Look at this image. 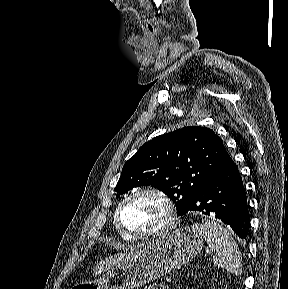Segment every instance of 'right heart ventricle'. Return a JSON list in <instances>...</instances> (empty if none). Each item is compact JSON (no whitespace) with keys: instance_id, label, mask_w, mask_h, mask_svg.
I'll list each match as a JSON object with an SVG mask.
<instances>
[{"instance_id":"obj_1","label":"right heart ventricle","mask_w":288,"mask_h":289,"mask_svg":"<svg viewBox=\"0 0 288 289\" xmlns=\"http://www.w3.org/2000/svg\"><path fill=\"white\" fill-rule=\"evenodd\" d=\"M123 200H124V199H123ZM123 200H121V201L118 203V205L116 206V208H115V210H114V213H113V224H114V227H115V230H116L118 236H119L122 240H124V241H131V240H133V239H130V238H128L126 235H124V234L119 230V228H118V226H117V224H116V211H117L119 205L121 204V202H122Z\"/></svg>"}]
</instances>
